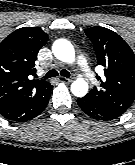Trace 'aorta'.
Returning a JSON list of instances; mask_svg holds the SVG:
<instances>
[{
	"label": "aorta",
	"instance_id": "1",
	"mask_svg": "<svg viewBox=\"0 0 135 165\" xmlns=\"http://www.w3.org/2000/svg\"><path fill=\"white\" fill-rule=\"evenodd\" d=\"M52 51L55 57L63 62L73 63L75 60L74 47L69 41L65 39L57 40L53 44ZM71 92L76 97L85 96L88 92V83L82 78L75 80L71 84Z\"/></svg>",
	"mask_w": 135,
	"mask_h": 165
}]
</instances>
